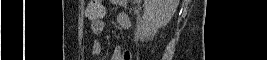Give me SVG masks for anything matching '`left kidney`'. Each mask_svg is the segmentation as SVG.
Instances as JSON below:
<instances>
[{"mask_svg":"<svg viewBox=\"0 0 267 60\" xmlns=\"http://www.w3.org/2000/svg\"><path fill=\"white\" fill-rule=\"evenodd\" d=\"M177 6L178 0H149L144 5L143 19L157 30L170 22Z\"/></svg>","mask_w":267,"mask_h":60,"instance_id":"obj_1","label":"left kidney"}]
</instances>
